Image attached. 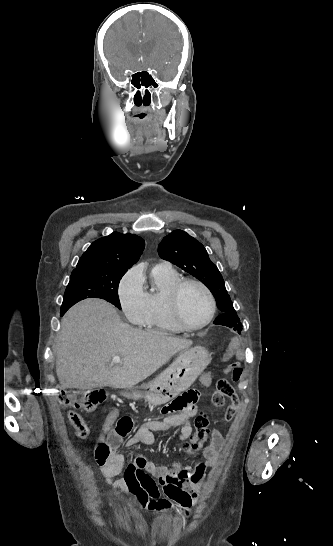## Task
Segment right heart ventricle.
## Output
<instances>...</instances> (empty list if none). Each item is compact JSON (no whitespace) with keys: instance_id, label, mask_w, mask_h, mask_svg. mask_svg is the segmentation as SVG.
Segmentation results:
<instances>
[{"instance_id":"e07e8e85","label":"right heart ventricle","mask_w":333,"mask_h":546,"mask_svg":"<svg viewBox=\"0 0 333 546\" xmlns=\"http://www.w3.org/2000/svg\"><path fill=\"white\" fill-rule=\"evenodd\" d=\"M179 279V273L170 266H155L150 270L146 286L143 287L146 312L141 324L145 329L162 333L182 331L172 320L167 308L168 294Z\"/></svg>"}]
</instances>
